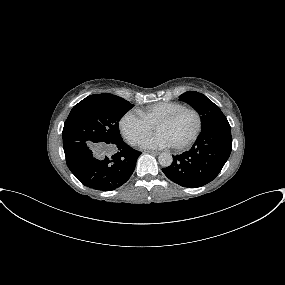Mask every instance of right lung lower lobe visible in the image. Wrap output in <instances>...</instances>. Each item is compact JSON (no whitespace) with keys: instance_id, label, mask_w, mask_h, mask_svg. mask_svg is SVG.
Listing matches in <instances>:
<instances>
[{"instance_id":"obj_1","label":"right lung lower lobe","mask_w":285,"mask_h":285,"mask_svg":"<svg viewBox=\"0 0 285 285\" xmlns=\"http://www.w3.org/2000/svg\"><path fill=\"white\" fill-rule=\"evenodd\" d=\"M116 152L110 155L109 148ZM70 171L85 186L112 191L123 185L132 175L141 152L132 149L123 140L114 143L71 141L63 145Z\"/></svg>"}]
</instances>
